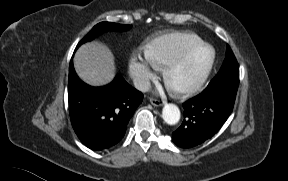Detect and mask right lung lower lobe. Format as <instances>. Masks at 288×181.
<instances>
[{"mask_svg": "<svg viewBox=\"0 0 288 181\" xmlns=\"http://www.w3.org/2000/svg\"><path fill=\"white\" fill-rule=\"evenodd\" d=\"M68 99L71 123L81 142L101 151L117 145L127 124L143 100V94L121 76L104 87H91L69 66Z\"/></svg>", "mask_w": 288, "mask_h": 181, "instance_id": "right-lung-lower-lobe-1", "label": "right lung lower lobe"}]
</instances>
